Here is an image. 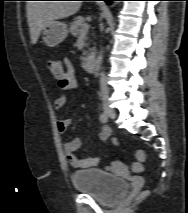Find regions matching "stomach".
I'll return each instance as SVG.
<instances>
[{"instance_id": "1", "label": "stomach", "mask_w": 188, "mask_h": 213, "mask_svg": "<svg viewBox=\"0 0 188 213\" xmlns=\"http://www.w3.org/2000/svg\"><path fill=\"white\" fill-rule=\"evenodd\" d=\"M67 35V25L60 21H52L42 29L43 42L49 47L57 46Z\"/></svg>"}]
</instances>
